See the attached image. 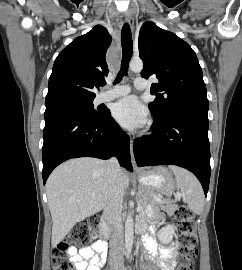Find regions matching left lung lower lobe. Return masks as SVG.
<instances>
[{
    "label": "left lung lower lobe",
    "instance_id": "1",
    "mask_svg": "<svg viewBox=\"0 0 242 270\" xmlns=\"http://www.w3.org/2000/svg\"><path fill=\"white\" fill-rule=\"evenodd\" d=\"M207 112L186 110L163 120L153 117V133L133 143L137 165L186 168L199 179L207 195L211 173Z\"/></svg>",
    "mask_w": 242,
    "mask_h": 270
}]
</instances>
